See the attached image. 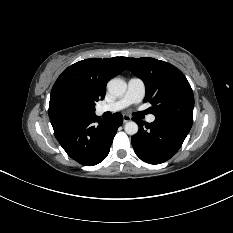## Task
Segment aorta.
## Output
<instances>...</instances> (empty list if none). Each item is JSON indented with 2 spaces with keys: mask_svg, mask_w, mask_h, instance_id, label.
Segmentation results:
<instances>
[{
  "mask_svg": "<svg viewBox=\"0 0 233 233\" xmlns=\"http://www.w3.org/2000/svg\"><path fill=\"white\" fill-rule=\"evenodd\" d=\"M107 89L114 96H122L127 90V84L120 78H113L107 83ZM124 129L128 135H135L139 127L136 122L130 121L125 124Z\"/></svg>",
  "mask_w": 233,
  "mask_h": 233,
  "instance_id": "aorta-1",
  "label": "aorta"
}]
</instances>
